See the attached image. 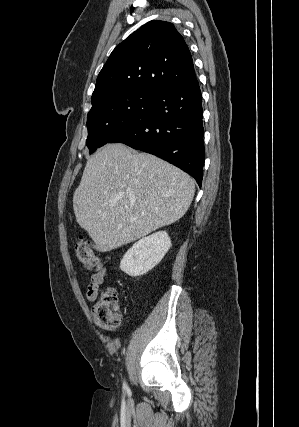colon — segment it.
Returning <instances> with one entry per match:
<instances>
[{
	"label": "colon",
	"mask_w": 299,
	"mask_h": 427,
	"mask_svg": "<svg viewBox=\"0 0 299 427\" xmlns=\"http://www.w3.org/2000/svg\"><path fill=\"white\" fill-rule=\"evenodd\" d=\"M74 256L84 267L95 269L98 272L104 270L101 260L94 255L91 246L85 239H80L74 246ZM94 321L98 327L105 331H113L121 323V311L117 294L109 288L102 293L101 298L92 309Z\"/></svg>",
	"instance_id": "5ec220e1"
}]
</instances>
